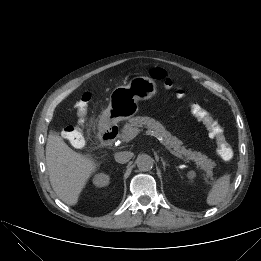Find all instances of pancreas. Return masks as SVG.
Listing matches in <instances>:
<instances>
[{
    "instance_id": "obj_1",
    "label": "pancreas",
    "mask_w": 261,
    "mask_h": 261,
    "mask_svg": "<svg viewBox=\"0 0 261 261\" xmlns=\"http://www.w3.org/2000/svg\"><path fill=\"white\" fill-rule=\"evenodd\" d=\"M145 126L149 130H153L155 135L163 139V144L172 148L173 151L185 156L187 160H193L201 169L205 171V180L212 178L213 168L216 166L215 162L209 159L206 155L186 149L182 142L175 136H172L164 126L150 117H133L129 119L122 129V138L127 139V133L133 129Z\"/></svg>"
}]
</instances>
